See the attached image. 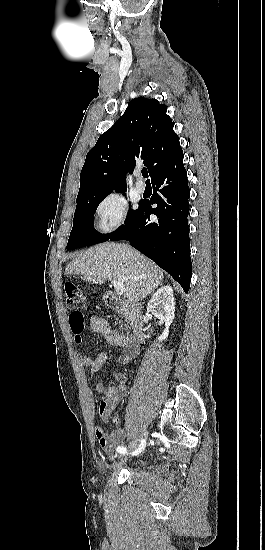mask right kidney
Here are the masks:
<instances>
[{
	"mask_svg": "<svg viewBox=\"0 0 265 550\" xmlns=\"http://www.w3.org/2000/svg\"><path fill=\"white\" fill-rule=\"evenodd\" d=\"M147 311L165 323V329L158 337V341L165 340L169 335V327L175 316V299L172 287L166 285L158 289L152 295L147 306Z\"/></svg>",
	"mask_w": 265,
	"mask_h": 550,
	"instance_id": "ca27d5eb",
	"label": "right kidney"
}]
</instances>
